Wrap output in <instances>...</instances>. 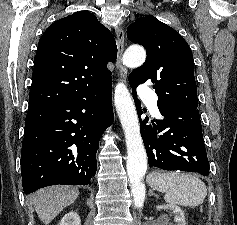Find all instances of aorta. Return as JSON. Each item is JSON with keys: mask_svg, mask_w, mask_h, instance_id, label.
Instances as JSON below:
<instances>
[{"mask_svg": "<svg viewBox=\"0 0 237 225\" xmlns=\"http://www.w3.org/2000/svg\"><path fill=\"white\" fill-rule=\"evenodd\" d=\"M146 59V52L140 46H130L123 55L127 67H139ZM114 105L119 116L127 147V174L131 192L137 206L145 198V185L142 182L147 170V155L140 135L139 121L130 92L123 83H118L114 91Z\"/></svg>", "mask_w": 237, "mask_h": 225, "instance_id": "aorta-1", "label": "aorta"}]
</instances>
